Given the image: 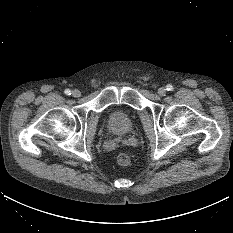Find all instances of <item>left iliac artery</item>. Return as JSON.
<instances>
[{
	"label": "left iliac artery",
	"instance_id": "left-iliac-artery-1",
	"mask_svg": "<svg viewBox=\"0 0 233 233\" xmlns=\"http://www.w3.org/2000/svg\"><path fill=\"white\" fill-rule=\"evenodd\" d=\"M166 87H167V88H166V89H167V91H172V90H173V86H172V85H170V84H169V85H167Z\"/></svg>",
	"mask_w": 233,
	"mask_h": 233
}]
</instances>
